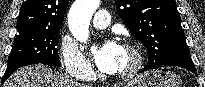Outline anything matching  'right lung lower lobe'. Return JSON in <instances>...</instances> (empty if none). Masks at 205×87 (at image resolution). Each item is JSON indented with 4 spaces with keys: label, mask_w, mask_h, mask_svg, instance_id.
Returning a JSON list of instances; mask_svg holds the SVG:
<instances>
[{
    "label": "right lung lower lobe",
    "mask_w": 205,
    "mask_h": 87,
    "mask_svg": "<svg viewBox=\"0 0 205 87\" xmlns=\"http://www.w3.org/2000/svg\"><path fill=\"white\" fill-rule=\"evenodd\" d=\"M38 63L39 62L32 61V60H13V61L8 62V66L3 76L2 83L18 68L26 66V65L38 64Z\"/></svg>",
    "instance_id": "right-lung-lower-lobe-1"
}]
</instances>
